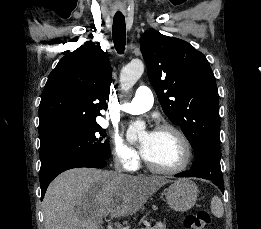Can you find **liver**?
Masks as SVG:
<instances>
[{"label": "liver", "mask_w": 261, "mask_h": 229, "mask_svg": "<svg viewBox=\"0 0 261 229\" xmlns=\"http://www.w3.org/2000/svg\"><path fill=\"white\" fill-rule=\"evenodd\" d=\"M164 177L70 169L50 183L43 199L45 229H100L102 219L127 217L166 185Z\"/></svg>", "instance_id": "1"}]
</instances>
